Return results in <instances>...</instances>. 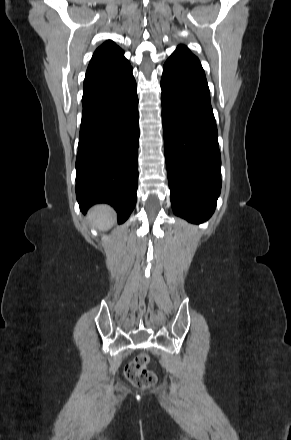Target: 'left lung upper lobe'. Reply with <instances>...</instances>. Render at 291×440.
<instances>
[{"instance_id":"5c2ea615","label":"left lung upper lobe","mask_w":291,"mask_h":440,"mask_svg":"<svg viewBox=\"0 0 291 440\" xmlns=\"http://www.w3.org/2000/svg\"><path fill=\"white\" fill-rule=\"evenodd\" d=\"M175 52L192 54V53L188 50V48H186V47H184V46H179Z\"/></svg>"}]
</instances>
